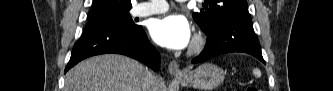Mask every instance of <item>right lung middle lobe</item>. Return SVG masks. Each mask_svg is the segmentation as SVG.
Instances as JSON below:
<instances>
[{
    "label": "right lung middle lobe",
    "mask_w": 333,
    "mask_h": 91,
    "mask_svg": "<svg viewBox=\"0 0 333 91\" xmlns=\"http://www.w3.org/2000/svg\"><path fill=\"white\" fill-rule=\"evenodd\" d=\"M87 25L93 26H114L124 28H140L141 26L134 23L128 11L95 19H89Z\"/></svg>",
    "instance_id": "1"
}]
</instances>
